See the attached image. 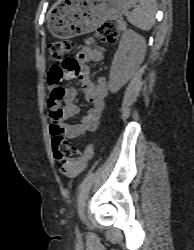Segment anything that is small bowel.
<instances>
[{
	"mask_svg": "<svg viewBox=\"0 0 194 250\" xmlns=\"http://www.w3.org/2000/svg\"><path fill=\"white\" fill-rule=\"evenodd\" d=\"M104 57V50L98 47L92 39H88L75 59H66L62 64L52 67L51 70L61 74L63 79H77L82 86L86 100L90 104L79 122L69 123L68 120L79 112L78 106L74 103L77 91L71 86L63 88L62 100L64 105L60 107L56 102L50 101L52 134L60 133L67 139H74L96 130L104 109L105 98L109 94V84L104 77H100L96 82H93L90 78L88 64L100 62ZM92 156L93 147L88 145L76 161L68 164L69 171L63 174L68 177L78 176L84 171Z\"/></svg>",
	"mask_w": 194,
	"mask_h": 250,
	"instance_id": "obj_1",
	"label": "small bowel"
}]
</instances>
